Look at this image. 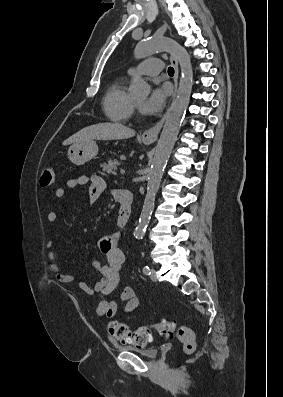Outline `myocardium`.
<instances>
[{
  "mask_svg": "<svg viewBox=\"0 0 283 397\" xmlns=\"http://www.w3.org/2000/svg\"><path fill=\"white\" fill-rule=\"evenodd\" d=\"M132 107H136V104L134 102H132Z\"/></svg>",
  "mask_w": 283,
  "mask_h": 397,
  "instance_id": "1",
  "label": "myocardium"
}]
</instances>
